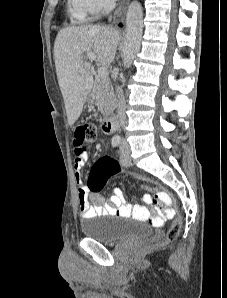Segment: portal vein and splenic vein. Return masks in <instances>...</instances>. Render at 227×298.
Masks as SVG:
<instances>
[{"label":"portal vein and splenic vein","mask_w":227,"mask_h":298,"mask_svg":"<svg viewBox=\"0 0 227 298\" xmlns=\"http://www.w3.org/2000/svg\"><path fill=\"white\" fill-rule=\"evenodd\" d=\"M86 59L89 61H96V56L92 52H87ZM98 76L100 79H106L108 77V69L106 67H100L98 69Z\"/></svg>","instance_id":"portal-vein-and-splenic-vein-1"}]
</instances>
